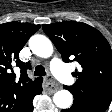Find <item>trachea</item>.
<instances>
[{
  "instance_id": "1",
  "label": "trachea",
  "mask_w": 112,
  "mask_h": 112,
  "mask_svg": "<svg viewBox=\"0 0 112 112\" xmlns=\"http://www.w3.org/2000/svg\"><path fill=\"white\" fill-rule=\"evenodd\" d=\"M46 71L42 65H37L34 71V76H45Z\"/></svg>"
}]
</instances>
